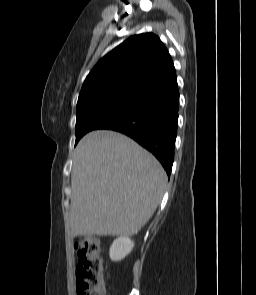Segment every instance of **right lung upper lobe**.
<instances>
[{
	"mask_svg": "<svg viewBox=\"0 0 256 295\" xmlns=\"http://www.w3.org/2000/svg\"><path fill=\"white\" fill-rule=\"evenodd\" d=\"M173 65L158 36L134 35L107 55L85 79L77 105H91L106 98L138 92Z\"/></svg>",
	"mask_w": 256,
	"mask_h": 295,
	"instance_id": "cb5924a9",
	"label": "right lung upper lobe"
}]
</instances>
